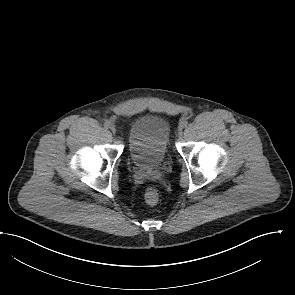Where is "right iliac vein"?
Wrapping results in <instances>:
<instances>
[{"instance_id": "63e3f726", "label": "right iliac vein", "mask_w": 295, "mask_h": 295, "mask_svg": "<svg viewBox=\"0 0 295 295\" xmlns=\"http://www.w3.org/2000/svg\"><path fill=\"white\" fill-rule=\"evenodd\" d=\"M111 131H112L113 133H115V132H116V128H115L114 126H112V127H111Z\"/></svg>"}]
</instances>
